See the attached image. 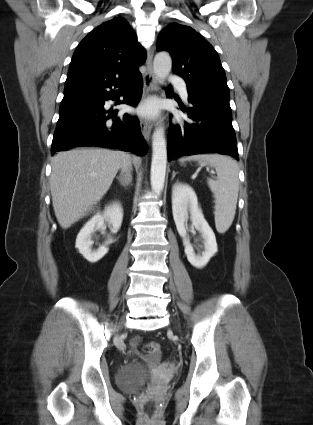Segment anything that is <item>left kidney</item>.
I'll return each mask as SVG.
<instances>
[{
  "label": "left kidney",
  "instance_id": "obj_1",
  "mask_svg": "<svg viewBox=\"0 0 313 425\" xmlns=\"http://www.w3.org/2000/svg\"><path fill=\"white\" fill-rule=\"evenodd\" d=\"M172 212L177 231L183 239L188 261L198 269L203 268L217 252V243L215 234L205 220L198 205L196 193L189 185L182 183H175L173 185ZM189 215L193 226L201 233L203 239L204 251L201 254H195L187 238L185 222L189 219Z\"/></svg>",
  "mask_w": 313,
  "mask_h": 425
}]
</instances>
